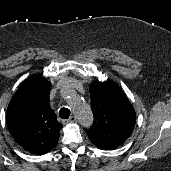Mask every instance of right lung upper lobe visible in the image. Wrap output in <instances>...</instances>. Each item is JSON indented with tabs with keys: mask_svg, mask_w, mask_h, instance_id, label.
<instances>
[{
	"mask_svg": "<svg viewBox=\"0 0 171 171\" xmlns=\"http://www.w3.org/2000/svg\"><path fill=\"white\" fill-rule=\"evenodd\" d=\"M51 83L40 75L26 79L7 108L6 123L15 142L42 155L58 142L61 123L49 106Z\"/></svg>",
	"mask_w": 171,
	"mask_h": 171,
	"instance_id": "obj_1",
	"label": "right lung upper lobe"
}]
</instances>
